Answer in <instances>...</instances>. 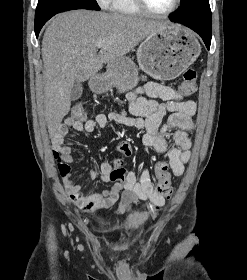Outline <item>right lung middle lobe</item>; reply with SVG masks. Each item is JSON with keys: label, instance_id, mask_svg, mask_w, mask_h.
I'll use <instances>...</instances> for the list:
<instances>
[{"label": "right lung middle lobe", "instance_id": "obj_1", "mask_svg": "<svg viewBox=\"0 0 247 280\" xmlns=\"http://www.w3.org/2000/svg\"><path fill=\"white\" fill-rule=\"evenodd\" d=\"M72 9L100 10L96 0H38L35 25L45 24L57 13Z\"/></svg>", "mask_w": 247, "mask_h": 280}]
</instances>
